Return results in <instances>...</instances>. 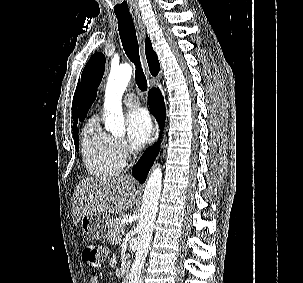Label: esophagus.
Listing matches in <instances>:
<instances>
[{"instance_id":"34e87169","label":"esophagus","mask_w":303,"mask_h":283,"mask_svg":"<svg viewBox=\"0 0 303 283\" xmlns=\"http://www.w3.org/2000/svg\"><path fill=\"white\" fill-rule=\"evenodd\" d=\"M134 23L137 29L138 33V40H139V45H140V55L143 63V67L147 75H149V69L148 65L146 62L145 54H144V40H145V35H146V28L145 24L140 16L134 17ZM157 136V124H155L154 128V134H153V139L155 140Z\"/></svg>"}]
</instances>
